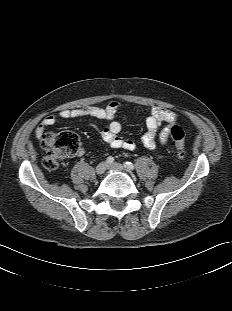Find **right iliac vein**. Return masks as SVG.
Instances as JSON below:
<instances>
[{
	"instance_id": "63e3f726",
	"label": "right iliac vein",
	"mask_w": 232,
	"mask_h": 311,
	"mask_svg": "<svg viewBox=\"0 0 232 311\" xmlns=\"http://www.w3.org/2000/svg\"><path fill=\"white\" fill-rule=\"evenodd\" d=\"M108 165L106 162H101L96 166L95 172L97 175H102L105 173Z\"/></svg>"
}]
</instances>
